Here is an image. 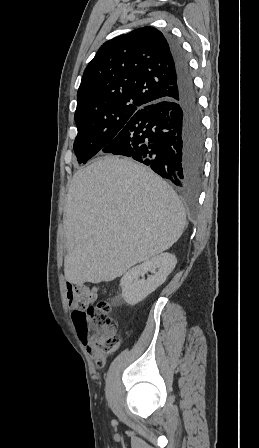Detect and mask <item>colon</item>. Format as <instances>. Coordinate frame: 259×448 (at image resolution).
<instances>
[{
    "label": "colon",
    "instance_id": "1",
    "mask_svg": "<svg viewBox=\"0 0 259 448\" xmlns=\"http://www.w3.org/2000/svg\"><path fill=\"white\" fill-rule=\"evenodd\" d=\"M99 290L90 284H78L73 288L76 311L72 314L80 340L92 344L103 353L115 352L120 345L117 325L111 316V305L106 301L97 304Z\"/></svg>",
    "mask_w": 259,
    "mask_h": 448
}]
</instances>
